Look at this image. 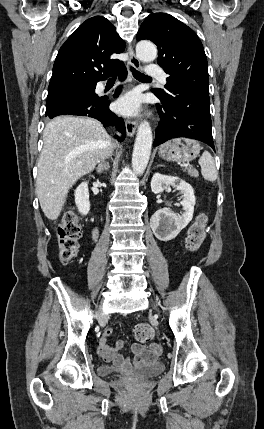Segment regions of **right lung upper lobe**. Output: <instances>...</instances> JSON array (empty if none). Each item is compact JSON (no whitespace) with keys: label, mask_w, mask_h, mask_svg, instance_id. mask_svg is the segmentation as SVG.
Here are the masks:
<instances>
[{"label":"right lung upper lobe","mask_w":264,"mask_h":429,"mask_svg":"<svg viewBox=\"0 0 264 429\" xmlns=\"http://www.w3.org/2000/svg\"><path fill=\"white\" fill-rule=\"evenodd\" d=\"M124 49V41L108 19L86 20L60 48L48 88L100 81L122 63L110 55Z\"/></svg>","instance_id":"right-lung-upper-lobe-1"}]
</instances>
